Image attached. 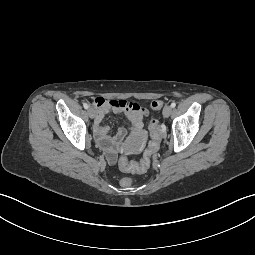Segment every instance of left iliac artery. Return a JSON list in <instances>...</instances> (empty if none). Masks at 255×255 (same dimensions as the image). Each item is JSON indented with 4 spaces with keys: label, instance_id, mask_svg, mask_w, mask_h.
Masks as SVG:
<instances>
[{
    "label": "left iliac artery",
    "instance_id": "1",
    "mask_svg": "<svg viewBox=\"0 0 255 255\" xmlns=\"http://www.w3.org/2000/svg\"><path fill=\"white\" fill-rule=\"evenodd\" d=\"M176 106V103L175 102H172L171 103V107L174 108Z\"/></svg>",
    "mask_w": 255,
    "mask_h": 255
}]
</instances>
